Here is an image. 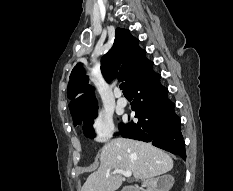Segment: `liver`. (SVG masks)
I'll list each match as a JSON object with an SVG mask.
<instances>
[{"mask_svg": "<svg viewBox=\"0 0 233 191\" xmlns=\"http://www.w3.org/2000/svg\"><path fill=\"white\" fill-rule=\"evenodd\" d=\"M99 168L90 174L81 191H116L122 176L112 170H130L136 179H148L169 172L172 158L164 151L138 140L116 138L101 149Z\"/></svg>", "mask_w": 233, "mask_h": 191, "instance_id": "liver-1", "label": "liver"}]
</instances>
